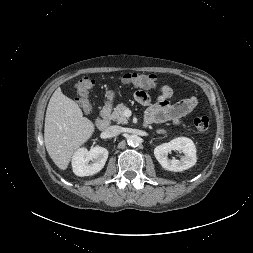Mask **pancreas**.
Listing matches in <instances>:
<instances>
[{
	"label": "pancreas",
	"instance_id": "obj_1",
	"mask_svg": "<svg viewBox=\"0 0 253 253\" xmlns=\"http://www.w3.org/2000/svg\"><path fill=\"white\" fill-rule=\"evenodd\" d=\"M127 109V107L121 103L118 104L115 108L114 111L109 115V118L113 121H116L121 124H127L128 120L124 116V111Z\"/></svg>",
	"mask_w": 253,
	"mask_h": 253
}]
</instances>
